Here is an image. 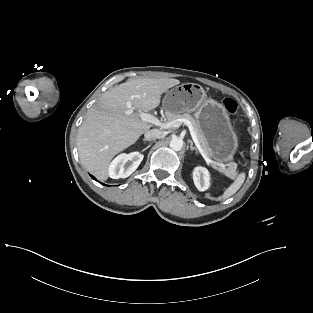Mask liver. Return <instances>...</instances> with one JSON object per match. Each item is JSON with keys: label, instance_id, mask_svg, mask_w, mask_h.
<instances>
[{"label": "liver", "instance_id": "6515ba94", "mask_svg": "<svg viewBox=\"0 0 313 313\" xmlns=\"http://www.w3.org/2000/svg\"><path fill=\"white\" fill-rule=\"evenodd\" d=\"M179 83L177 79L138 78L105 92L89 109L78 131L82 165L98 179L107 180L112 158L152 127L141 120L140 113L158 107L161 95Z\"/></svg>", "mask_w": 313, "mask_h": 313}]
</instances>
